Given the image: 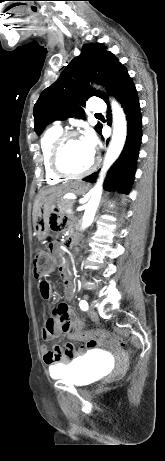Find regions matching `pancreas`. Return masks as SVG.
Returning <instances> with one entry per match:
<instances>
[{"label": "pancreas", "mask_w": 165, "mask_h": 461, "mask_svg": "<svg viewBox=\"0 0 165 461\" xmlns=\"http://www.w3.org/2000/svg\"><path fill=\"white\" fill-rule=\"evenodd\" d=\"M74 202H75L74 200H69V199L61 200L58 203V210H59L60 214L64 215L66 213L67 209L73 207Z\"/></svg>", "instance_id": "pancreas-1"}]
</instances>
